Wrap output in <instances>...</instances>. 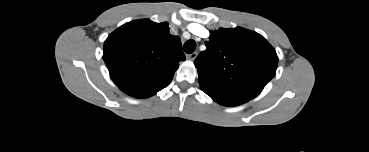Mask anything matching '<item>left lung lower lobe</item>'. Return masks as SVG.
Listing matches in <instances>:
<instances>
[{"label": "left lung lower lobe", "instance_id": "1", "mask_svg": "<svg viewBox=\"0 0 369 152\" xmlns=\"http://www.w3.org/2000/svg\"><path fill=\"white\" fill-rule=\"evenodd\" d=\"M203 91L207 95H209L215 102L221 105H225V106H237V105H240V104H243L249 101L245 98L238 97V96L222 94V93L206 91V90H203Z\"/></svg>", "mask_w": 369, "mask_h": 152}]
</instances>
